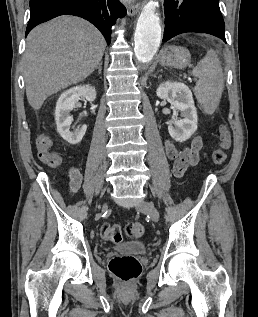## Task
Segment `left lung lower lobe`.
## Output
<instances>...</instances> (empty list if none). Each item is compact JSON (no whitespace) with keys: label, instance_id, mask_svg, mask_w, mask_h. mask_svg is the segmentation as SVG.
<instances>
[{"label":"left lung lower lobe","instance_id":"1","mask_svg":"<svg viewBox=\"0 0 258 317\" xmlns=\"http://www.w3.org/2000/svg\"><path fill=\"white\" fill-rule=\"evenodd\" d=\"M163 41L186 32L207 33L225 43V25L219 0H165Z\"/></svg>","mask_w":258,"mask_h":317}]
</instances>
